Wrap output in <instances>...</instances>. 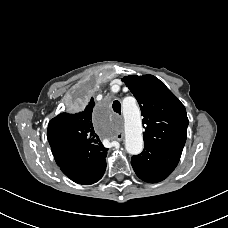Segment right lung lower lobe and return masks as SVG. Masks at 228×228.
Listing matches in <instances>:
<instances>
[{"label":"right lung lower lobe","instance_id":"right-lung-lower-lobe-1","mask_svg":"<svg viewBox=\"0 0 228 228\" xmlns=\"http://www.w3.org/2000/svg\"><path fill=\"white\" fill-rule=\"evenodd\" d=\"M62 172L78 184H93L100 180L106 169L107 149L76 145L69 149L52 150Z\"/></svg>","mask_w":228,"mask_h":228}]
</instances>
